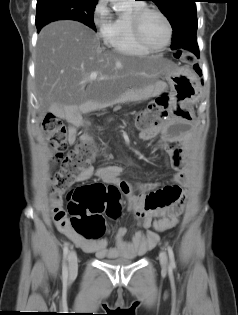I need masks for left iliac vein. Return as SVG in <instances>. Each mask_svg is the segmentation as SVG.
Instances as JSON below:
<instances>
[{
  "instance_id": "1",
  "label": "left iliac vein",
  "mask_w": 238,
  "mask_h": 315,
  "mask_svg": "<svg viewBox=\"0 0 238 315\" xmlns=\"http://www.w3.org/2000/svg\"><path fill=\"white\" fill-rule=\"evenodd\" d=\"M160 264L164 271L168 270V256L167 253L162 250L159 254Z\"/></svg>"
}]
</instances>
